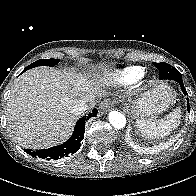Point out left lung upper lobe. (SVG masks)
<instances>
[{
    "label": "left lung upper lobe",
    "instance_id": "5c2ea615",
    "mask_svg": "<svg viewBox=\"0 0 196 196\" xmlns=\"http://www.w3.org/2000/svg\"><path fill=\"white\" fill-rule=\"evenodd\" d=\"M154 64V66L155 67H157L158 69H159V77L160 76H164V72L166 71V73L165 74H167L168 72H171V73H175V75H178V76H181V74H180V72L176 69V68H174V67H172L171 65H169V64H166V63H153ZM162 65H167V66H169L170 68H173L172 70H161L160 69V66H162ZM168 75H170V74H168Z\"/></svg>",
    "mask_w": 196,
    "mask_h": 196
}]
</instances>
